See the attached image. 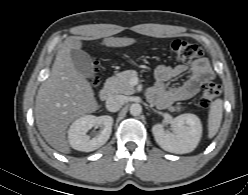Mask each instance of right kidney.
<instances>
[{
	"mask_svg": "<svg viewBox=\"0 0 248 195\" xmlns=\"http://www.w3.org/2000/svg\"><path fill=\"white\" fill-rule=\"evenodd\" d=\"M113 118L108 115H85L76 119L68 130L70 146L78 151L91 152L103 146L112 132ZM93 127H100V132L93 138L87 132Z\"/></svg>",
	"mask_w": 248,
	"mask_h": 195,
	"instance_id": "right-kidney-1",
	"label": "right kidney"
}]
</instances>
